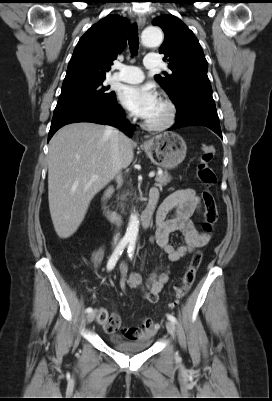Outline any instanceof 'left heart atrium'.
Instances as JSON below:
<instances>
[{
  "instance_id": "39dd6f15",
  "label": "left heart atrium",
  "mask_w": 272,
  "mask_h": 401,
  "mask_svg": "<svg viewBox=\"0 0 272 401\" xmlns=\"http://www.w3.org/2000/svg\"><path fill=\"white\" fill-rule=\"evenodd\" d=\"M119 100L136 116L147 119L154 111L158 97L155 88L150 84L123 86Z\"/></svg>"
}]
</instances>
